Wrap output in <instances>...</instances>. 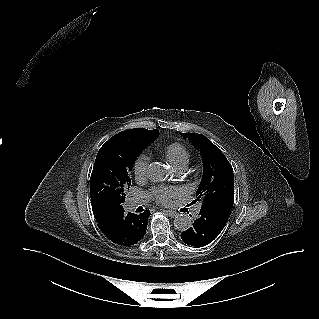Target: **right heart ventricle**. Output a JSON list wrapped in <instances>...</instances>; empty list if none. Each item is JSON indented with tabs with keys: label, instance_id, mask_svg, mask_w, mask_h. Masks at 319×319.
I'll use <instances>...</instances> for the list:
<instances>
[{
	"label": "right heart ventricle",
	"instance_id": "right-heart-ventricle-1",
	"mask_svg": "<svg viewBox=\"0 0 319 319\" xmlns=\"http://www.w3.org/2000/svg\"><path fill=\"white\" fill-rule=\"evenodd\" d=\"M164 154L167 161L176 169L186 168L190 161L188 149L180 143H172L165 147Z\"/></svg>",
	"mask_w": 319,
	"mask_h": 319
}]
</instances>
